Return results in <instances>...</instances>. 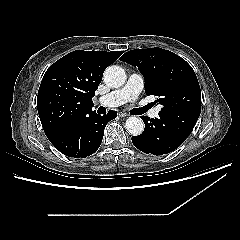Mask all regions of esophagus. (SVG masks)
Here are the masks:
<instances>
[{"instance_id": "obj_1", "label": "esophagus", "mask_w": 240, "mask_h": 240, "mask_svg": "<svg viewBox=\"0 0 240 240\" xmlns=\"http://www.w3.org/2000/svg\"><path fill=\"white\" fill-rule=\"evenodd\" d=\"M118 115H119L120 117H128V116H129V114H127V113H125V112H119Z\"/></svg>"}]
</instances>
